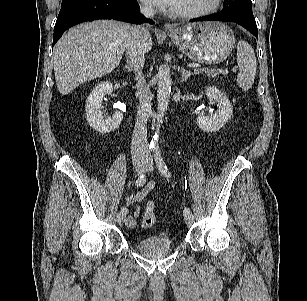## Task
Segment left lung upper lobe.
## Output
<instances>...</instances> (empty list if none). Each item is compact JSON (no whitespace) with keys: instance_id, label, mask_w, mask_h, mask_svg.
<instances>
[{"instance_id":"5c2ea615","label":"left lung upper lobe","mask_w":307,"mask_h":301,"mask_svg":"<svg viewBox=\"0 0 307 301\" xmlns=\"http://www.w3.org/2000/svg\"><path fill=\"white\" fill-rule=\"evenodd\" d=\"M221 13H250L252 14L251 0H224Z\"/></svg>"}]
</instances>
